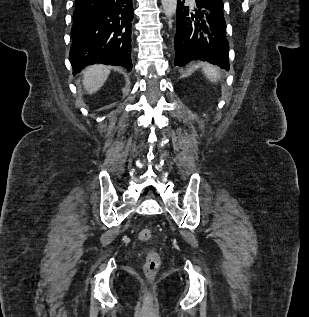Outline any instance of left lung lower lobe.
I'll return each instance as SVG.
<instances>
[{
  "label": "left lung lower lobe",
  "mask_w": 309,
  "mask_h": 317,
  "mask_svg": "<svg viewBox=\"0 0 309 317\" xmlns=\"http://www.w3.org/2000/svg\"><path fill=\"white\" fill-rule=\"evenodd\" d=\"M177 1L174 39L175 66L191 60L208 61L229 70V43L222 0H195L194 7Z\"/></svg>",
  "instance_id": "obj_1"
}]
</instances>
